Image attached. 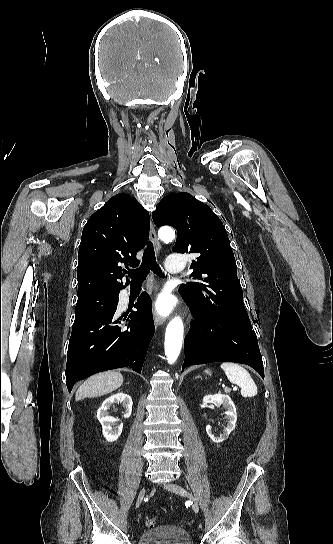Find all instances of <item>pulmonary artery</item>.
Returning <instances> with one entry per match:
<instances>
[{
	"mask_svg": "<svg viewBox=\"0 0 333 544\" xmlns=\"http://www.w3.org/2000/svg\"><path fill=\"white\" fill-rule=\"evenodd\" d=\"M166 268L172 274L181 273L184 270V260L180 255H171L167 259Z\"/></svg>",
	"mask_w": 333,
	"mask_h": 544,
	"instance_id": "e3ab8cb5",
	"label": "pulmonary artery"
}]
</instances>
